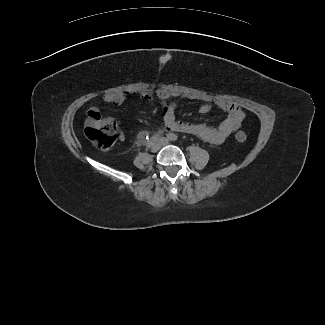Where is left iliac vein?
I'll list each match as a JSON object with an SVG mask.
<instances>
[{
    "label": "left iliac vein",
    "instance_id": "obj_1",
    "mask_svg": "<svg viewBox=\"0 0 325 325\" xmlns=\"http://www.w3.org/2000/svg\"><path fill=\"white\" fill-rule=\"evenodd\" d=\"M160 142L162 145H167L169 143V141L165 138L161 139Z\"/></svg>",
    "mask_w": 325,
    "mask_h": 325
}]
</instances>
